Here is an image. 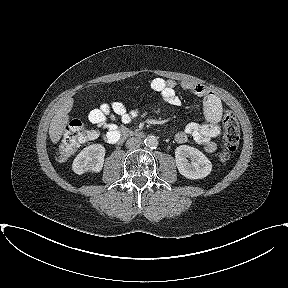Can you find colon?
Segmentation results:
<instances>
[{
	"instance_id": "obj_1",
	"label": "colon",
	"mask_w": 288,
	"mask_h": 288,
	"mask_svg": "<svg viewBox=\"0 0 288 288\" xmlns=\"http://www.w3.org/2000/svg\"><path fill=\"white\" fill-rule=\"evenodd\" d=\"M97 132L88 128L81 120H72L66 126L57 148V157L67 160L84 142L96 138ZM240 139V129L236 117L228 110L224 111L223 149L219 153L221 162L227 161L237 149Z\"/></svg>"
}]
</instances>
